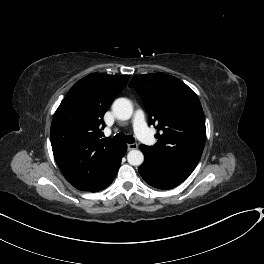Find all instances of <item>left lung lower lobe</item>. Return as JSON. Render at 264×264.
Wrapping results in <instances>:
<instances>
[{
  "mask_svg": "<svg viewBox=\"0 0 264 264\" xmlns=\"http://www.w3.org/2000/svg\"><path fill=\"white\" fill-rule=\"evenodd\" d=\"M144 162L138 168L142 178L158 189H171L181 184L194 170L185 165L168 162L159 158L144 145H140Z\"/></svg>",
  "mask_w": 264,
  "mask_h": 264,
  "instance_id": "obj_1",
  "label": "left lung lower lobe"
}]
</instances>
